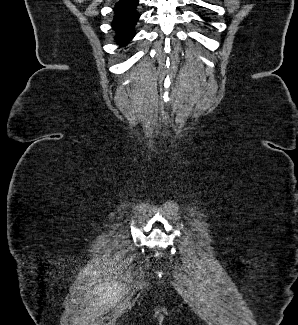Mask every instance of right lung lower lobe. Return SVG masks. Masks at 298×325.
I'll list each match as a JSON object with an SVG mask.
<instances>
[{"label":"right lung lower lobe","instance_id":"1","mask_svg":"<svg viewBox=\"0 0 298 325\" xmlns=\"http://www.w3.org/2000/svg\"><path fill=\"white\" fill-rule=\"evenodd\" d=\"M139 0H120L114 7L112 27L116 32V42L126 45L134 36V26L139 19L136 7Z\"/></svg>","mask_w":298,"mask_h":325}]
</instances>
